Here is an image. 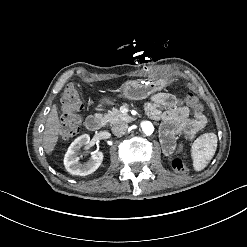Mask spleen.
I'll list each match as a JSON object with an SVG mask.
<instances>
[{"mask_svg":"<svg viewBox=\"0 0 247 247\" xmlns=\"http://www.w3.org/2000/svg\"><path fill=\"white\" fill-rule=\"evenodd\" d=\"M201 140H203V150H199L197 145ZM216 145L217 135L213 132L206 133L196 140L191 154L193 169L196 172L203 170L207 166L212 158V149L215 150Z\"/></svg>","mask_w":247,"mask_h":247,"instance_id":"obj_1","label":"spleen"}]
</instances>
